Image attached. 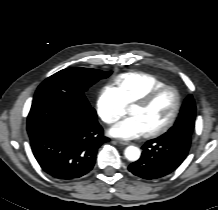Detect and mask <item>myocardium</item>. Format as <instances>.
Masks as SVG:
<instances>
[{
  "mask_svg": "<svg viewBox=\"0 0 218 210\" xmlns=\"http://www.w3.org/2000/svg\"><path fill=\"white\" fill-rule=\"evenodd\" d=\"M166 91H172L174 94V97H175L174 109L172 111L170 118L167 120V122L164 125L146 133V135L149 137H156V136H159L161 134H164L175 124V122L179 116L180 110H181V105H182L181 94L176 87H174L172 85H163V86H160V87L150 91L149 93H147L146 95H144L142 98H140L139 100H137L134 103V106L138 105V106H142V107H148L161 94H163Z\"/></svg>",
  "mask_w": 218,
  "mask_h": 210,
  "instance_id": "obj_1",
  "label": "myocardium"
}]
</instances>
